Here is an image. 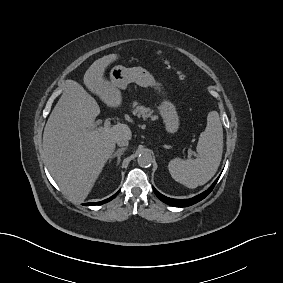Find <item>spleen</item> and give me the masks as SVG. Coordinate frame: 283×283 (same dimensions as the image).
Here are the masks:
<instances>
[{"instance_id": "spleen-1", "label": "spleen", "mask_w": 283, "mask_h": 283, "mask_svg": "<svg viewBox=\"0 0 283 283\" xmlns=\"http://www.w3.org/2000/svg\"><path fill=\"white\" fill-rule=\"evenodd\" d=\"M198 158H175L168 164L172 178L188 188L207 183L217 172L223 152V128L217 111L209 112L207 126L196 147Z\"/></svg>"}]
</instances>
